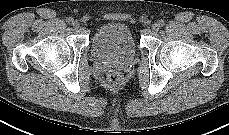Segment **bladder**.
<instances>
[{"label":"bladder","mask_w":229,"mask_h":135,"mask_svg":"<svg viewBox=\"0 0 229 135\" xmlns=\"http://www.w3.org/2000/svg\"><path fill=\"white\" fill-rule=\"evenodd\" d=\"M91 50L101 58H130L137 52L131 29L123 23H107L99 27L92 38Z\"/></svg>","instance_id":"31cf9c89"}]
</instances>
